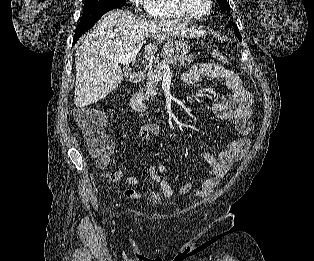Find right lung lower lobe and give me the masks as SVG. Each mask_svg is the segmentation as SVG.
I'll return each mask as SVG.
<instances>
[{
  "instance_id": "98d812e1",
  "label": "right lung lower lobe",
  "mask_w": 314,
  "mask_h": 261,
  "mask_svg": "<svg viewBox=\"0 0 314 261\" xmlns=\"http://www.w3.org/2000/svg\"><path fill=\"white\" fill-rule=\"evenodd\" d=\"M103 15V14H102ZM98 16L94 19H92L91 21L85 22V23H80L75 30V35H74V39H73V45L77 42V40L79 39V37L87 30H89L91 27L94 26V24L99 20V18L102 16Z\"/></svg>"
}]
</instances>
